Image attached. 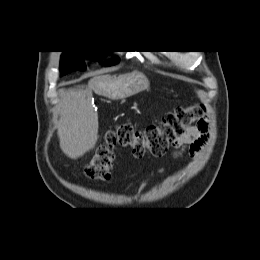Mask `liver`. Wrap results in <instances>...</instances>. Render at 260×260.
<instances>
[{"instance_id": "1", "label": "liver", "mask_w": 260, "mask_h": 260, "mask_svg": "<svg viewBox=\"0 0 260 260\" xmlns=\"http://www.w3.org/2000/svg\"><path fill=\"white\" fill-rule=\"evenodd\" d=\"M117 81L118 78L110 75H100L91 79L89 89L68 91L62 97L58 137L61 150L71 159L82 157L98 139V115L91 100L92 90L111 98L112 87Z\"/></svg>"}]
</instances>
